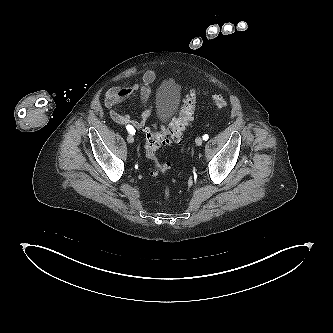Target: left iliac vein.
Here are the masks:
<instances>
[{
  "label": "left iliac vein",
  "instance_id": "left-iliac-vein-1",
  "mask_svg": "<svg viewBox=\"0 0 333 333\" xmlns=\"http://www.w3.org/2000/svg\"><path fill=\"white\" fill-rule=\"evenodd\" d=\"M195 143L197 146H201L203 141H202V138L201 137H197L196 140H195Z\"/></svg>",
  "mask_w": 333,
  "mask_h": 333
}]
</instances>
